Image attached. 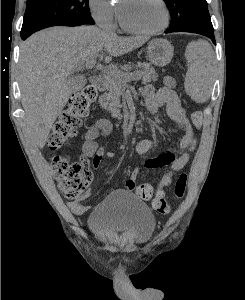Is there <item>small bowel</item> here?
I'll use <instances>...</instances> for the list:
<instances>
[{"label": "small bowel", "instance_id": "small-bowel-1", "mask_svg": "<svg viewBox=\"0 0 245 300\" xmlns=\"http://www.w3.org/2000/svg\"><path fill=\"white\" fill-rule=\"evenodd\" d=\"M142 95L145 100L146 107L149 112L156 113L161 107H165L169 117L175 121L183 132V136L179 142V147L182 154L176 156L174 153H164L158 157L148 159L143 163V167L147 169H156L166 167L163 170L157 188L162 190L168 188L174 179L175 174L180 172L188 163L191 153L197 146V136L194 127L190 122L186 108L183 106L179 94L176 91V83L172 77H165L163 86L155 89L152 85H145L142 88ZM113 126L106 119L97 120L90 126L84 134V142L82 144V153L84 158H91L92 165L95 169L98 168L104 156L114 158L116 154L111 151H105L99 146L98 139L100 137L109 136ZM153 148V141L150 139L140 140L135 147V151L139 155L149 153ZM140 168L136 167L131 172L125 183V189L132 192L135 187V181L139 175ZM90 190H87L82 199L89 197ZM69 209L74 214H83L88 210V206L83 205L80 199H74L68 202Z\"/></svg>", "mask_w": 245, "mask_h": 300}]
</instances>
